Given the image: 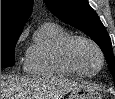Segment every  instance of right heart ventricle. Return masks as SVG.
Returning <instances> with one entry per match:
<instances>
[{
    "label": "right heart ventricle",
    "mask_w": 115,
    "mask_h": 99,
    "mask_svg": "<svg viewBox=\"0 0 115 99\" xmlns=\"http://www.w3.org/2000/svg\"><path fill=\"white\" fill-rule=\"evenodd\" d=\"M71 36L63 26L47 22L39 27L26 56L25 70L41 76L77 75L65 62L62 47Z\"/></svg>",
    "instance_id": "e07e8e85"
}]
</instances>
